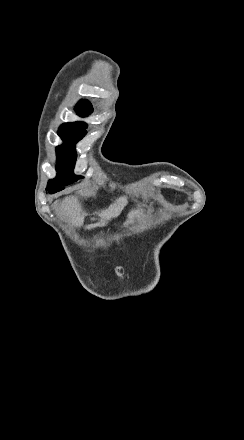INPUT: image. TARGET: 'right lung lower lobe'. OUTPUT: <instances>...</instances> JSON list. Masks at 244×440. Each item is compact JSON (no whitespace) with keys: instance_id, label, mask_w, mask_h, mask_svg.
<instances>
[{"instance_id":"right-lung-lower-lobe-1","label":"right lung lower lobe","mask_w":244,"mask_h":440,"mask_svg":"<svg viewBox=\"0 0 244 440\" xmlns=\"http://www.w3.org/2000/svg\"><path fill=\"white\" fill-rule=\"evenodd\" d=\"M64 189V186H58V185H52V186H47V191L50 194L56 193L58 191H61Z\"/></svg>"}]
</instances>
